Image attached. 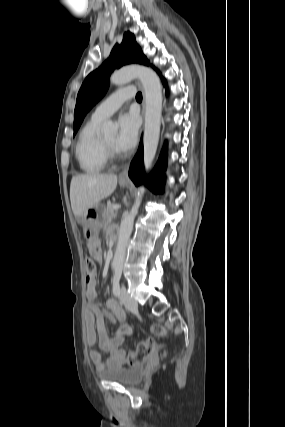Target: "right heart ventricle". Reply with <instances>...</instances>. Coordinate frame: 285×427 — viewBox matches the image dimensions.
Returning <instances> with one entry per match:
<instances>
[{
    "mask_svg": "<svg viewBox=\"0 0 285 427\" xmlns=\"http://www.w3.org/2000/svg\"><path fill=\"white\" fill-rule=\"evenodd\" d=\"M102 120L91 117L81 128L75 145V156L79 168L87 174H97L107 164L99 128Z\"/></svg>",
    "mask_w": 285,
    "mask_h": 427,
    "instance_id": "e07e8e85",
    "label": "right heart ventricle"
}]
</instances>
